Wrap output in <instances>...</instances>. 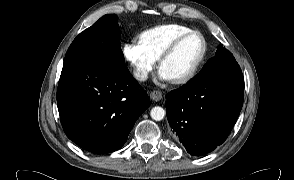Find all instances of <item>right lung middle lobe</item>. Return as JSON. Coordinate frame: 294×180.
<instances>
[{
  "label": "right lung middle lobe",
  "mask_w": 294,
  "mask_h": 180,
  "mask_svg": "<svg viewBox=\"0 0 294 180\" xmlns=\"http://www.w3.org/2000/svg\"><path fill=\"white\" fill-rule=\"evenodd\" d=\"M116 16L105 15L80 33L70 45L62 71L87 62H110L124 65Z\"/></svg>",
  "instance_id": "right-lung-middle-lobe-1"
}]
</instances>
